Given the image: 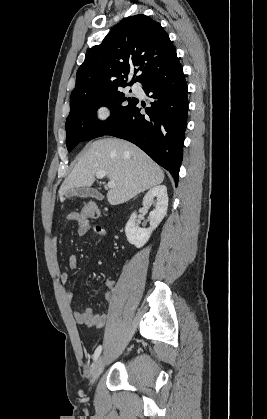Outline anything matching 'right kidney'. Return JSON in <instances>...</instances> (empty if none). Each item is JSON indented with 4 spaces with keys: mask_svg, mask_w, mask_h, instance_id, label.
<instances>
[{
    "mask_svg": "<svg viewBox=\"0 0 267 419\" xmlns=\"http://www.w3.org/2000/svg\"><path fill=\"white\" fill-rule=\"evenodd\" d=\"M156 199V208L150 212V227L139 228L136 224V213H132L125 226V234L130 244L141 248L149 240L153 230L157 228L167 213L168 195L167 188L164 185H158L151 188L143 198L142 205L148 207Z\"/></svg>",
    "mask_w": 267,
    "mask_h": 419,
    "instance_id": "right-kidney-1",
    "label": "right kidney"
}]
</instances>
